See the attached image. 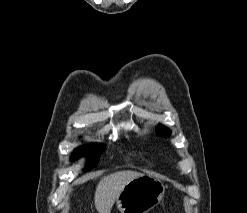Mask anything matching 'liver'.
Instances as JSON below:
<instances>
[{"label":"liver","instance_id":"liver-1","mask_svg":"<svg viewBox=\"0 0 247 213\" xmlns=\"http://www.w3.org/2000/svg\"><path fill=\"white\" fill-rule=\"evenodd\" d=\"M143 174L134 171H120L104 176L99 181L95 195V207L99 213H110L112 206L123 188Z\"/></svg>","mask_w":247,"mask_h":213}]
</instances>
